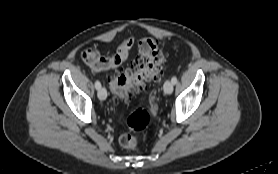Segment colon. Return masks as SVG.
<instances>
[{
    "label": "colon",
    "mask_w": 278,
    "mask_h": 174,
    "mask_svg": "<svg viewBox=\"0 0 278 174\" xmlns=\"http://www.w3.org/2000/svg\"><path fill=\"white\" fill-rule=\"evenodd\" d=\"M138 48L139 56L132 66L116 72L109 78L111 90L119 100L129 101L150 83L160 78L165 57L158 41L148 37L143 38ZM150 120V114L146 109H136L127 119L129 132L121 135L119 140L121 146L126 149L135 148L141 135L147 130Z\"/></svg>",
    "instance_id": "1"
}]
</instances>
